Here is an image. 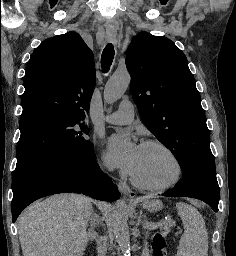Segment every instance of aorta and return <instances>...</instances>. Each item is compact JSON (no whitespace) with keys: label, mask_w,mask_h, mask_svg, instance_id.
<instances>
[{"label":"aorta","mask_w":236,"mask_h":256,"mask_svg":"<svg viewBox=\"0 0 236 256\" xmlns=\"http://www.w3.org/2000/svg\"><path fill=\"white\" fill-rule=\"evenodd\" d=\"M129 84L130 75L127 71L115 73L105 85V102L117 101L125 93ZM127 220V206L123 200H119L113 209L111 226L123 256H130V234Z\"/></svg>","instance_id":"obj_1"}]
</instances>
